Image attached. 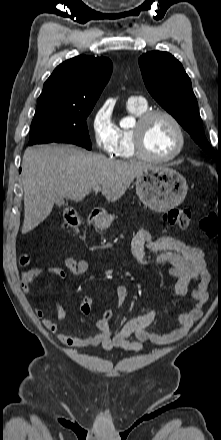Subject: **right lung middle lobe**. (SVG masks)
<instances>
[{
    "instance_id": "1",
    "label": "right lung middle lobe",
    "mask_w": 221,
    "mask_h": 440,
    "mask_svg": "<svg viewBox=\"0 0 221 440\" xmlns=\"http://www.w3.org/2000/svg\"><path fill=\"white\" fill-rule=\"evenodd\" d=\"M93 106H73L56 101L37 103L29 145L58 142L91 149L86 119Z\"/></svg>"
}]
</instances>
